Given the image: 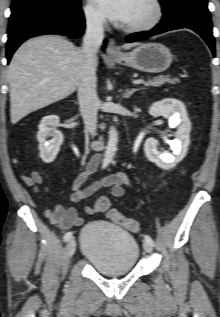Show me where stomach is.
Segmentation results:
<instances>
[{
    "label": "stomach",
    "mask_w": 220,
    "mask_h": 317,
    "mask_svg": "<svg viewBox=\"0 0 220 317\" xmlns=\"http://www.w3.org/2000/svg\"><path fill=\"white\" fill-rule=\"evenodd\" d=\"M112 61L139 71L159 73L170 67L172 54L170 50L162 44L145 43L139 45L129 53L112 57Z\"/></svg>",
    "instance_id": "0dacf381"
}]
</instances>
